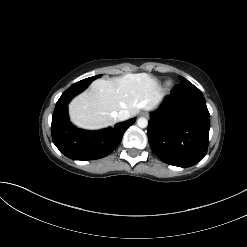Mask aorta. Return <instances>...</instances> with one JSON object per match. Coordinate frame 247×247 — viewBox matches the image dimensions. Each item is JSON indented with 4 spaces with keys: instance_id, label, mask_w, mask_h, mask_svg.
<instances>
[{
    "instance_id": "1",
    "label": "aorta",
    "mask_w": 247,
    "mask_h": 247,
    "mask_svg": "<svg viewBox=\"0 0 247 247\" xmlns=\"http://www.w3.org/2000/svg\"><path fill=\"white\" fill-rule=\"evenodd\" d=\"M137 125L140 128H146L148 125V120L144 117H141L137 120Z\"/></svg>"
}]
</instances>
